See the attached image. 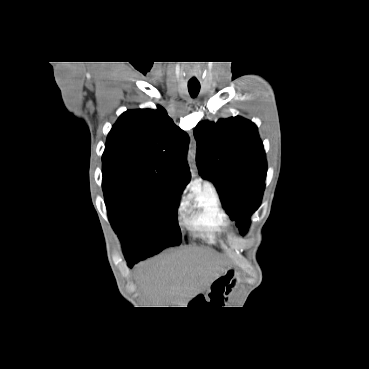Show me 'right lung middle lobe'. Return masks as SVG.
Wrapping results in <instances>:
<instances>
[{
	"instance_id": "dd1d6c3e",
	"label": "right lung middle lobe",
	"mask_w": 369,
	"mask_h": 369,
	"mask_svg": "<svg viewBox=\"0 0 369 369\" xmlns=\"http://www.w3.org/2000/svg\"><path fill=\"white\" fill-rule=\"evenodd\" d=\"M102 188L110 222L127 261H140L181 243L179 202L171 192L118 173H103Z\"/></svg>"
}]
</instances>
